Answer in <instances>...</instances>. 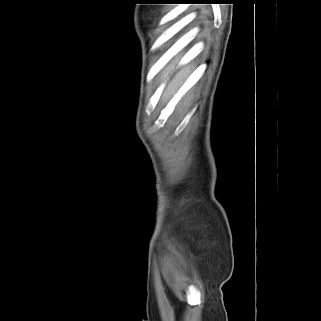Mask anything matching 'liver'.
I'll return each instance as SVG.
<instances>
[{"mask_svg":"<svg viewBox=\"0 0 321 321\" xmlns=\"http://www.w3.org/2000/svg\"><path fill=\"white\" fill-rule=\"evenodd\" d=\"M178 62L179 58L174 59L161 75V82L166 83L162 95L164 101L170 99L190 75L191 65L178 68Z\"/></svg>","mask_w":321,"mask_h":321,"instance_id":"liver-1","label":"liver"}]
</instances>
